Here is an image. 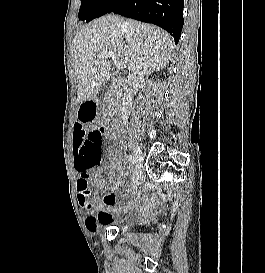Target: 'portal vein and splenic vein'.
<instances>
[{"label":"portal vein and splenic vein","instance_id":"portal-vein-and-splenic-vein-1","mask_svg":"<svg viewBox=\"0 0 265 273\" xmlns=\"http://www.w3.org/2000/svg\"><path fill=\"white\" fill-rule=\"evenodd\" d=\"M100 57L104 58V57H109L111 58L114 62H115V65H116V68L118 70H122V69H125L126 68V62L124 60H119L117 57H115L114 54L112 53H106V54H101Z\"/></svg>","mask_w":265,"mask_h":273}]
</instances>
